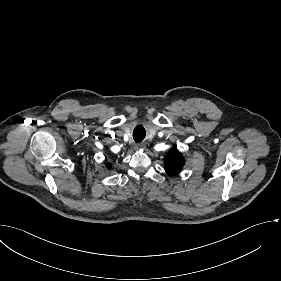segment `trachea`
Here are the masks:
<instances>
[{
  "label": "trachea",
  "mask_w": 281,
  "mask_h": 281,
  "mask_svg": "<svg viewBox=\"0 0 281 281\" xmlns=\"http://www.w3.org/2000/svg\"><path fill=\"white\" fill-rule=\"evenodd\" d=\"M146 136L145 129L142 126H137L133 131V139L136 143L142 142Z\"/></svg>",
  "instance_id": "3493384b"
}]
</instances>
